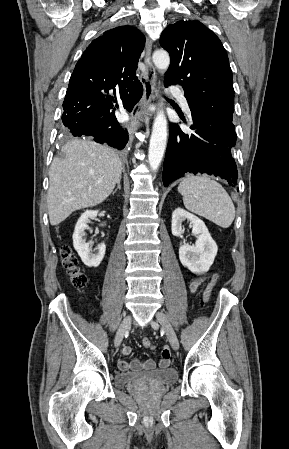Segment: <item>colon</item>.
Returning <instances> with one entry per match:
<instances>
[{
    "mask_svg": "<svg viewBox=\"0 0 289 449\" xmlns=\"http://www.w3.org/2000/svg\"><path fill=\"white\" fill-rule=\"evenodd\" d=\"M61 258H62V266L65 269L73 286L78 289L85 287V285L87 284V277L85 273L82 271L79 265V261L70 247L64 246L61 249ZM219 280L220 275L219 274L214 275L210 283L206 287L202 298V303L204 305H206L209 302L212 291L214 287L217 285ZM142 344L144 347H148L151 344V342L148 338H144L142 340Z\"/></svg>",
    "mask_w": 289,
    "mask_h": 449,
    "instance_id": "obj_1",
    "label": "colon"
}]
</instances>
